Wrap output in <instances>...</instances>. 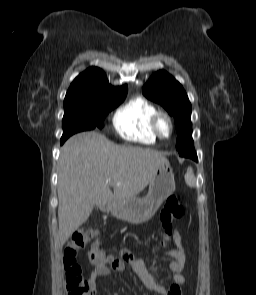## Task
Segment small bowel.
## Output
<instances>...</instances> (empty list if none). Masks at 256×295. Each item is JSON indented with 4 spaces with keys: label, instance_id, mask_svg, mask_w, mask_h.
Segmentation results:
<instances>
[{
    "label": "small bowel",
    "instance_id": "small-bowel-1",
    "mask_svg": "<svg viewBox=\"0 0 256 295\" xmlns=\"http://www.w3.org/2000/svg\"><path fill=\"white\" fill-rule=\"evenodd\" d=\"M176 248L169 250L166 255L171 258L168 267L173 273V283L168 288L158 284L146 268L142 259L134 257L131 251L126 248L120 250L119 256L110 260L109 264L95 266V269L88 276L90 295H98L100 288L96 281L99 276H107L111 272H122L125 265H129L133 272L140 278L142 283L150 291L159 295H181V286L185 284L183 271L186 264V251L178 231L173 234ZM112 295H117L112 293Z\"/></svg>",
    "mask_w": 256,
    "mask_h": 295
}]
</instances>
